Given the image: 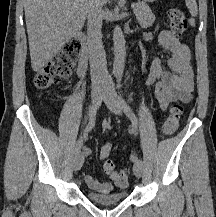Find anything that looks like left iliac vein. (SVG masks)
Here are the masks:
<instances>
[{
    "mask_svg": "<svg viewBox=\"0 0 216 217\" xmlns=\"http://www.w3.org/2000/svg\"><path fill=\"white\" fill-rule=\"evenodd\" d=\"M103 100L114 114L120 115L122 113V104L112 83L105 87ZM142 170V164L140 162H134L133 171L136 177H141Z\"/></svg>",
    "mask_w": 216,
    "mask_h": 217,
    "instance_id": "left-iliac-vein-1",
    "label": "left iliac vein"
}]
</instances>
